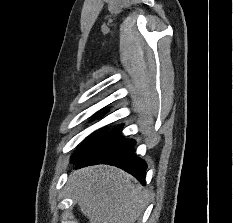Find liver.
<instances>
[{
	"instance_id": "liver-1",
	"label": "liver",
	"mask_w": 233,
	"mask_h": 223,
	"mask_svg": "<svg viewBox=\"0 0 233 223\" xmlns=\"http://www.w3.org/2000/svg\"><path fill=\"white\" fill-rule=\"evenodd\" d=\"M67 187L89 223H134L147 201L132 175L113 165L72 171Z\"/></svg>"
}]
</instances>
